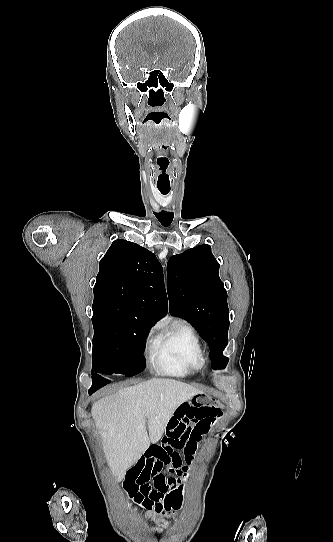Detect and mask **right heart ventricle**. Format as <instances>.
<instances>
[{
	"instance_id": "obj_1",
	"label": "right heart ventricle",
	"mask_w": 333,
	"mask_h": 542,
	"mask_svg": "<svg viewBox=\"0 0 333 542\" xmlns=\"http://www.w3.org/2000/svg\"><path fill=\"white\" fill-rule=\"evenodd\" d=\"M150 358L158 369L174 376L194 375L205 363L199 338L186 324H179L162 334L152 344Z\"/></svg>"
}]
</instances>
